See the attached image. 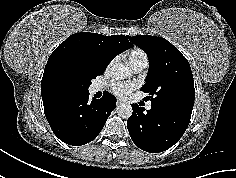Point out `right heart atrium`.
Wrapping results in <instances>:
<instances>
[{"label": "right heart atrium", "mask_w": 236, "mask_h": 178, "mask_svg": "<svg viewBox=\"0 0 236 178\" xmlns=\"http://www.w3.org/2000/svg\"><path fill=\"white\" fill-rule=\"evenodd\" d=\"M110 66H111V64H109V65H108V68H107V69H109V68H110Z\"/></svg>", "instance_id": "right-heart-atrium-1"}]
</instances>
